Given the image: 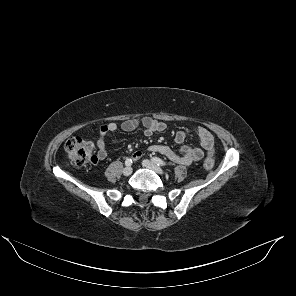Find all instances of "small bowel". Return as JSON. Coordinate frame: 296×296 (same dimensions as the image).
Returning a JSON list of instances; mask_svg holds the SVG:
<instances>
[{"label": "small bowel", "mask_w": 296, "mask_h": 296, "mask_svg": "<svg viewBox=\"0 0 296 296\" xmlns=\"http://www.w3.org/2000/svg\"><path fill=\"white\" fill-rule=\"evenodd\" d=\"M119 128L124 132H133L139 128H142L144 134L150 136L154 133L164 131L166 129V124L150 116H142L127 119L120 125L115 122H110L101 126L96 141L98 158L100 160H104L108 156V151L106 148L107 135L117 131ZM191 133L199 139L200 147L182 146L180 152L178 153L166 145H152L150 146L149 150L154 153L162 154L174 163L185 165L201 160L205 154L211 157L215 151V141L212 134L202 126L195 127ZM189 134V131H178L174 138L175 143L178 145L183 144ZM141 156L142 154L137 152L133 155V160L137 161L141 158Z\"/></svg>", "instance_id": "small-bowel-1"}]
</instances>
